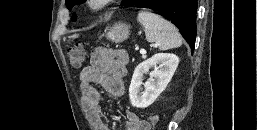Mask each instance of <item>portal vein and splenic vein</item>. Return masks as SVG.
Listing matches in <instances>:
<instances>
[{"instance_id":"portal-vein-and-splenic-vein-1","label":"portal vein and splenic vein","mask_w":257,"mask_h":130,"mask_svg":"<svg viewBox=\"0 0 257 130\" xmlns=\"http://www.w3.org/2000/svg\"><path fill=\"white\" fill-rule=\"evenodd\" d=\"M140 53H141V54H146V50L141 49V50H140Z\"/></svg>"}]
</instances>
